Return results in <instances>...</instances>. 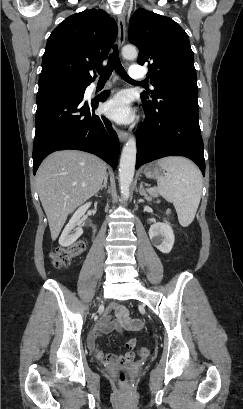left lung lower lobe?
Segmentation results:
<instances>
[{"label": "left lung lower lobe", "mask_w": 243, "mask_h": 409, "mask_svg": "<svg viewBox=\"0 0 243 409\" xmlns=\"http://www.w3.org/2000/svg\"><path fill=\"white\" fill-rule=\"evenodd\" d=\"M141 99L145 120L137 132L136 169L165 156H184L194 161L204 176L197 83H174L155 100Z\"/></svg>", "instance_id": "left-lung-lower-lobe-1"}]
</instances>
